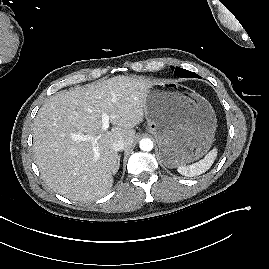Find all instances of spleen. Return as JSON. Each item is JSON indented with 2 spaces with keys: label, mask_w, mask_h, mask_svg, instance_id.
<instances>
[{
  "label": "spleen",
  "mask_w": 269,
  "mask_h": 269,
  "mask_svg": "<svg viewBox=\"0 0 269 269\" xmlns=\"http://www.w3.org/2000/svg\"><path fill=\"white\" fill-rule=\"evenodd\" d=\"M216 157H217V149L213 148L205 155V157L202 160L188 166L179 165L177 170L180 174L184 176H190V177L197 176L206 172L212 166Z\"/></svg>",
  "instance_id": "3e777b00"
}]
</instances>
